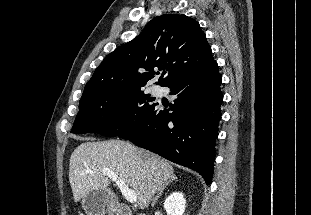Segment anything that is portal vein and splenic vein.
<instances>
[{
	"label": "portal vein and splenic vein",
	"instance_id": "18ae733b",
	"mask_svg": "<svg viewBox=\"0 0 311 215\" xmlns=\"http://www.w3.org/2000/svg\"><path fill=\"white\" fill-rule=\"evenodd\" d=\"M102 174L108 176L110 179H112L113 182H115V184L120 189L122 195L128 202H137L136 193L133 190L129 189L128 185L122 179H120L113 171L109 169H103Z\"/></svg>",
	"mask_w": 311,
	"mask_h": 215
}]
</instances>
